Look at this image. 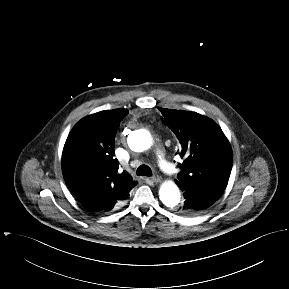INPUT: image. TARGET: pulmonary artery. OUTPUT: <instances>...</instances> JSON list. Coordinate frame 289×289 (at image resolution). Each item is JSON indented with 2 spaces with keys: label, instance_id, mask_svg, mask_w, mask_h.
I'll return each mask as SVG.
<instances>
[{
  "label": "pulmonary artery",
  "instance_id": "1",
  "mask_svg": "<svg viewBox=\"0 0 289 289\" xmlns=\"http://www.w3.org/2000/svg\"><path fill=\"white\" fill-rule=\"evenodd\" d=\"M159 157V165L161 169L168 173V174H173L175 169L174 167L164 158V155L162 153L158 154Z\"/></svg>",
  "mask_w": 289,
  "mask_h": 289
}]
</instances>
